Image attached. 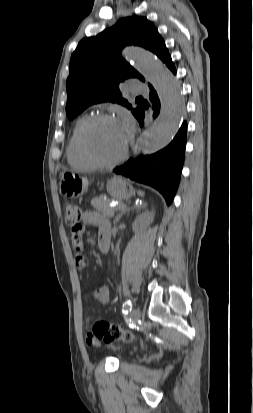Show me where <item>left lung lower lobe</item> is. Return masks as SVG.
<instances>
[{
    "label": "left lung lower lobe",
    "instance_id": "obj_1",
    "mask_svg": "<svg viewBox=\"0 0 253 413\" xmlns=\"http://www.w3.org/2000/svg\"><path fill=\"white\" fill-rule=\"evenodd\" d=\"M166 66L176 74L171 57ZM150 101L156 117L160 111V100L151 85ZM145 113L143 110L136 117L143 125ZM187 124L184 122L171 143L161 151L147 156L130 159L124 165L116 167L114 172L129 177L137 182L156 188L164 196L168 205L171 204L179 185L180 175L185 157Z\"/></svg>",
    "mask_w": 253,
    "mask_h": 413
}]
</instances>
